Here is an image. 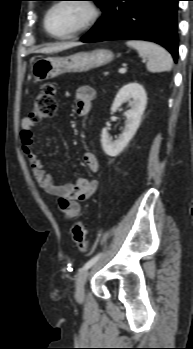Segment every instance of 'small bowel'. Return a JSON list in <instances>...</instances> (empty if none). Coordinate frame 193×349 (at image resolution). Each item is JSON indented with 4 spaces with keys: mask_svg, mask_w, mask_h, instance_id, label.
Listing matches in <instances>:
<instances>
[{
    "mask_svg": "<svg viewBox=\"0 0 193 349\" xmlns=\"http://www.w3.org/2000/svg\"><path fill=\"white\" fill-rule=\"evenodd\" d=\"M96 97V91L90 86H81L75 92L76 112L79 116L89 114L92 102ZM35 122L30 118L21 121V145L28 158L31 171L39 186L48 194L58 198V206L68 219L76 217L81 210L80 203L90 199L98 189L96 179L78 178L73 183L57 185L46 170L34 150L33 127ZM84 163L87 169L95 173L99 169V162L95 154L86 152Z\"/></svg>",
    "mask_w": 193,
    "mask_h": 349,
    "instance_id": "c3829d8e",
    "label": "small bowel"
}]
</instances>
